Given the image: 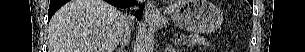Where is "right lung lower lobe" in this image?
Here are the masks:
<instances>
[{
	"mask_svg": "<svg viewBox=\"0 0 305 52\" xmlns=\"http://www.w3.org/2000/svg\"><path fill=\"white\" fill-rule=\"evenodd\" d=\"M68 0H51L49 11H48V22L50 21L52 15L62 6L64 5ZM108 3H110L113 6L120 7V8H126L133 5L132 0H105ZM136 17L138 19L142 16V9H140L136 14Z\"/></svg>",
	"mask_w": 305,
	"mask_h": 52,
	"instance_id": "obj_1",
	"label": "right lung lower lobe"
}]
</instances>
